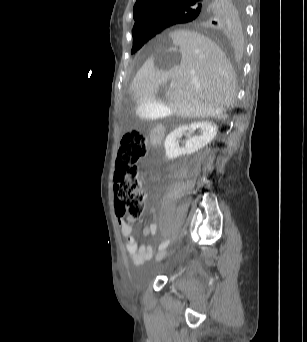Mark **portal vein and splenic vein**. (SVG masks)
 I'll return each instance as SVG.
<instances>
[{
  "mask_svg": "<svg viewBox=\"0 0 307 342\" xmlns=\"http://www.w3.org/2000/svg\"><path fill=\"white\" fill-rule=\"evenodd\" d=\"M176 86H177L176 82H171L170 88H176Z\"/></svg>",
  "mask_w": 307,
  "mask_h": 342,
  "instance_id": "obj_1",
  "label": "portal vein and splenic vein"
}]
</instances>
